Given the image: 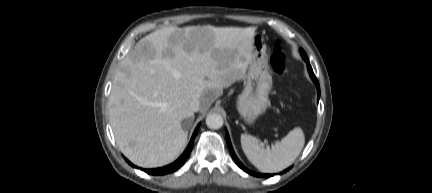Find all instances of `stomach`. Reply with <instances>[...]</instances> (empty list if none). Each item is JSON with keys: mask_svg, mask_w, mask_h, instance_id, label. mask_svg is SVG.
Listing matches in <instances>:
<instances>
[{"mask_svg": "<svg viewBox=\"0 0 432 193\" xmlns=\"http://www.w3.org/2000/svg\"><path fill=\"white\" fill-rule=\"evenodd\" d=\"M267 46L263 35L255 33L252 41V57L245 80V88L238 96L236 108L240 116L252 124L268 106L272 88L269 73Z\"/></svg>", "mask_w": 432, "mask_h": 193, "instance_id": "1", "label": "stomach"}]
</instances>
